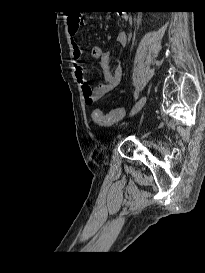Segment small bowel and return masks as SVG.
<instances>
[{
  "mask_svg": "<svg viewBox=\"0 0 205 273\" xmlns=\"http://www.w3.org/2000/svg\"><path fill=\"white\" fill-rule=\"evenodd\" d=\"M81 24L80 22L76 21L75 16H71L68 19L69 34L71 36L72 43V55L73 58L77 61L81 60L83 57V49L75 39ZM116 42L122 46L126 45L128 42L127 34L124 32L119 33L116 37ZM91 55L92 57L100 60L102 74L105 82L91 87L87 83L83 68L81 66L76 67L75 75L78 81H80L82 84L83 96L87 105H92L106 94L111 92L113 89H115L119 85L122 76L120 67L112 66L109 53L102 49L100 46H92Z\"/></svg>",
  "mask_w": 205,
  "mask_h": 273,
  "instance_id": "c3829d8e",
  "label": "small bowel"
}]
</instances>
